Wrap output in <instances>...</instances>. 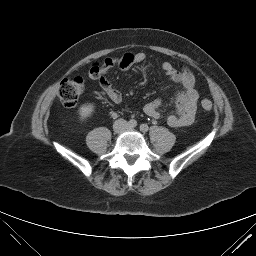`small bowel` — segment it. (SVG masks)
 Masks as SVG:
<instances>
[{"label": "small bowel", "mask_w": 256, "mask_h": 256, "mask_svg": "<svg viewBox=\"0 0 256 256\" xmlns=\"http://www.w3.org/2000/svg\"><path fill=\"white\" fill-rule=\"evenodd\" d=\"M146 54L143 52H127L118 57L107 58L103 63V72L100 78V86L106 96L114 103L122 101L121 93L116 90L105 77L113 68L122 71L129 70L133 65L144 61ZM162 70L166 76L180 86L176 95L175 112L163 114L160 111L161 101L155 99L144 106L146 115L154 120H164L171 127H183L191 125L195 120L197 101L199 94L195 88L194 77L186 68H176L170 62L162 64Z\"/></svg>", "instance_id": "obj_1"}]
</instances>
